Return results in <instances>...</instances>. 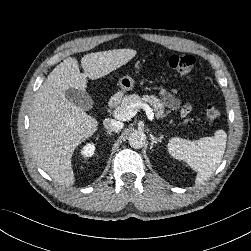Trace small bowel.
I'll use <instances>...</instances> for the list:
<instances>
[{"label": "small bowel", "mask_w": 251, "mask_h": 251, "mask_svg": "<svg viewBox=\"0 0 251 251\" xmlns=\"http://www.w3.org/2000/svg\"><path fill=\"white\" fill-rule=\"evenodd\" d=\"M160 96L163 102L171 109L175 110L179 108V100L176 97L175 91H168L166 89L160 90ZM191 110V106L186 104L180 108V113L182 116H186Z\"/></svg>", "instance_id": "small-bowel-1"}]
</instances>
